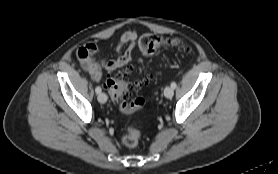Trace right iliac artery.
<instances>
[{"mask_svg":"<svg viewBox=\"0 0 278 174\" xmlns=\"http://www.w3.org/2000/svg\"><path fill=\"white\" fill-rule=\"evenodd\" d=\"M95 91H96V93L98 94V93L101 92V88H100L99 86H97L96 89H95Z\"/></svg>","mask_w":278,"mask_h":174,"instance_id":"82829eb1","label":"right iliac artery"}]
</instances>
